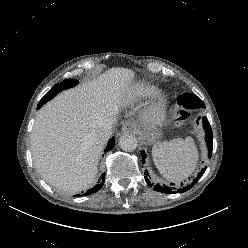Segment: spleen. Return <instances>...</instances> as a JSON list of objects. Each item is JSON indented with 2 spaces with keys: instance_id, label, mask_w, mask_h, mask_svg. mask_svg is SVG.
Listing matches in <instances>:
<instances>
[{
  "instance_id": "3e777b00",
  "label": "spleen",
  "mask_w": 248,
  "mask_h": 248,
  "mask_svg": "<svg viewBox=\"0 0 248 248\" xmlns=\"http://www.w3.org/2000/svg\"><path fill=\"white\" fill-rule=\"evenodd\" d=\"M154 164L163 177L181 182L195 170L198 151L192 137L157 143L152 148Z\"/></svg>"
}]
</instances>
